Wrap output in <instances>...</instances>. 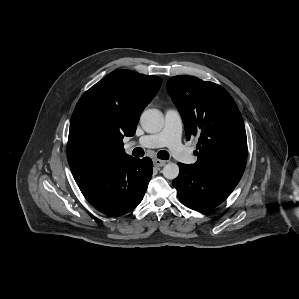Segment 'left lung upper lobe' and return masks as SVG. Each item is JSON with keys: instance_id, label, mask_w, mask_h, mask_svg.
Segmentation results:
<instances>
[{"instance_id": "left-lung-upper-lobe-1", "label": "left lung upper lobe", "mask_w": 299, "mask_h": 299, "mask_svg": "<svg viewBox=\"0 0 299 299\" xmlns=\"http://www.w3.org/2000/svg\"><path fill=\"white\" fill-rule=\"evenodd\" d=\"M167 89L181 113L187 138L199 139L198 160L191 167L237 185L246 166L247 138L230 94L213 82L192 76L170 78Z\"/></svg>"}]
</instances>
